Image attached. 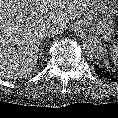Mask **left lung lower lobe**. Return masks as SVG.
Returning <instances> with one entry per match:
<instances>
[{"label": "left lung lower lobe", "mask_w": 118, "mask_h": 118, "mask_svg": "<svg viewBox=\"0 0 118 118\" xmlns=\"http://www.w3.org/2000/svg\"><path fill=\"white\" fill-rule=\"evenodd\" d=\"M96 70V74L102 78V79H106L112 82H118V71L117 72H113L110 71L106 68H102V67H95Z\"/></svg>", "instance_id": "1"}]
</instances>
